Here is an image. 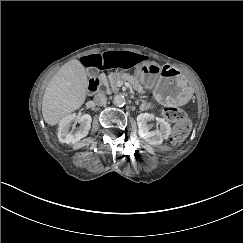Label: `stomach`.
Here are the masks:
<instances>
[{"instance_id":"obj_1","label":"stomach","mask_w":243,"mask_h":243,"mask_svg":"<svg viewBox=\"0 0 243 243\" xmlns=\"http://www.w3.org/2000/svg\"><path fill=\"white\" fill-rule=\"evenodd\" d=\"M136 77L142 85L153 90L154 97L163 105L182 106L192 97L189 81L171 65L145 62L136 69Z\"/></svg>"}]
</instances>
